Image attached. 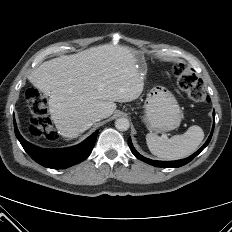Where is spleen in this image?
I'll list each match as a JSON object with an SVG mask.
<instances>
[{
	"label": "spleen",
	"mask_w": 232,
	"mask_h": 232,
	"mask_svg": "<svg viewBox=\"0 0 232 232\" xmlns=\"http://www.w3.org/2000/svg\"><path fill=\"white\" fill-rule=\"evenodd\" d=\"M204 138L201 127L193 125L182 135L170 139L159 137L153 133L146 135L150 152L164 160H178L194 153Z\"/></svg>",
	"instance_id": "obj_1"
}]
</instances>
